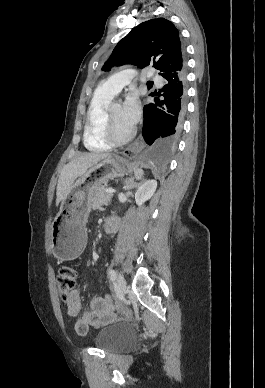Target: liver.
I'll use <instances>...</instances> for the list:
<instances>
[{
    "mask_svg": "<svg viewBox=\"0 0 265 388\" xmlns=\"http://www.w3.org/2000/svg\"><path fill=\"white\" fill-rule=\"evenodd\" d=\"M109 156L110 154H99V152H95V154H83V156L71 160L67 166H64L60 172L57 184L56 206H59L62 200H66V196L78 176H81L88 168H92L94 164H98L100 160L109 158Z\"/></svg>",
    "mask_w": 265,
    "mask_h": 388,
    "instance_id": "1",
    "label": "liver"
}]
</instances>
